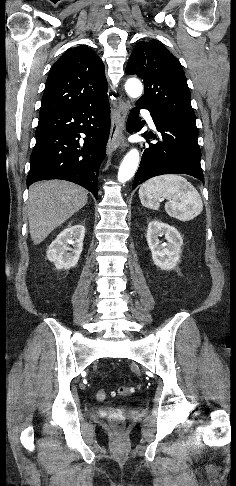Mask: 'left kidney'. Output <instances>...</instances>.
Wrapping results in <instances>:
<instances>
[{"mask_svg":"<svg viewBox=\"0 0 236 486\" xmlns=\"http://www.w3.org/2000/svg\"><path fill=\"white\" fill-rule=\"evenodd\" d=\"M161 236H165L166 244H161ZM146 238L154 264L162 270L174 269L180 260L183 245L177 229L159 220H152L148 224Z\"/></svg>","mask_w":236,"mask_h":486,"instance_id":"5707ae66","label":"left kidney"}]
</instances>
